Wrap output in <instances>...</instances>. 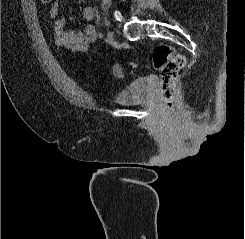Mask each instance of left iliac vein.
I'll return each mask as SVG.
<instances>
[{
	"label": "left iliac vein",
	"instance_id": "1",
	"mask_svg": "<svg viewBox=\"0 0 245 239\" xmlns=\"http://www.w3.org/2000/svg\"><path fill=\"white\" fill-rule=\"evenodd\" d=\"M106 41L109 44H112L114 42V34L112 31H108L106 35Z\"/></svg>",
	"mask_w": 245,
	"mask_h": 239
}]
</instances>
